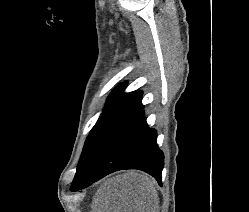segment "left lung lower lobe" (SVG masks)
<instances>
[{"instance_id": "0a47b994", "label": "left lung lower lobe", "mask_w": 249, "mask_h": 212, "mask_svg": "<svg viewBox=\"0 0 249 212\" xmlns=\"http://www.w3.org/2000/svg\"><path fill=\"white\" fill-rule=\"evenodd\" d=\"M142 97L108 130L71 191H78L104 176L122 169H139L162 185L164 155L157 145V133L144 117Z\"/></svg>"}]
</instances>
